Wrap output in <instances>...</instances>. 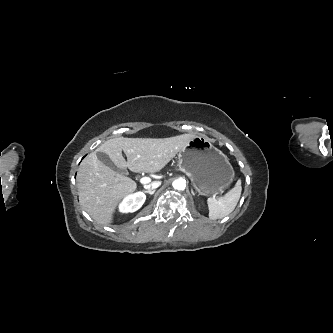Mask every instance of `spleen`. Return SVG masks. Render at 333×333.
Wrapping results in <instances>:
<instances>
[{
	"mask_svg": "<svg viewBox=\"0 0 333 333\" xmlns=\"http://www.w3.org/2000/svg\"><path fill=\"white\" fill-rule=\"evenodd\" d=\"M241 180H238L235 187L232 188L223 197L208 198L209 218L212 220L221 219L229 215L236 207L241 196Z\"/></svg>",
	"mask_w": 333,
	"mask_h": 333,
	"instance_id": "3e777b00",
	"label": "spleen"
}]
</instances>
